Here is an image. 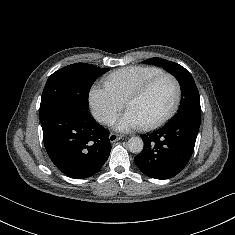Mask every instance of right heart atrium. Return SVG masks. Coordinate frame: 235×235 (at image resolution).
<instances>
[{
	"label": "right heart atrium",
	"instance_id": "d8ad5b80",
	"mask_svg": "<svg viewBox=\"0 0 235 235\" xmlns=\"http://www.w3.org/2000/svg\"><path fill=\"white\" fill-rule=\"evenodd\" d=\"M89 103L95 118L108 123L125 105L107 83L94 84L89 92Z\"/></svg>",
	"mask_w": 235,
	"mask_h": 235
}]
</instances>
